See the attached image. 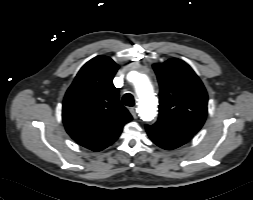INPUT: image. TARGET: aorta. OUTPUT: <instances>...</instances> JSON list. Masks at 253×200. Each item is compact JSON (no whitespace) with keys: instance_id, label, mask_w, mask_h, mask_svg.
Returning <instances> with one entry per match:
<instances>
[{"instance_id":"1","label":"aorta","mask_w":253,"mask_h":200,"mask_svg":"<svg viewBox=\"0 0 253 200\" xmlns=\"http://www.w3.org/2000/svg\"><path fill=\"white\" fill-rule=\"evenodd\" d=\"M133 83L141 119L151 122L157 115L158 103L150 79L146 74L136 73Z\"/></svg>"}]
</instances>
